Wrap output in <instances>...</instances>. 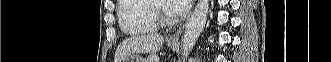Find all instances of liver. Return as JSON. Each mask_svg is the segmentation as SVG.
Segmentation results:
<instances>
[{
	"instance_id": "1",
	"label": "liver",
	"mask_w": 331,
	"mask_h": 62,
	"mask_svg": "<svg viewBox=\"0 0 331 62\" xmlns=\"http://www.w3.org/2000/svg\"><path fill=\"white\" fill-rule=\"evenodd\" d=\"M164 37L157 34L132 36L123 40L115 53L114 62H122L135 53H156L160 50Z\"/></svg>"
}]
</instances>
